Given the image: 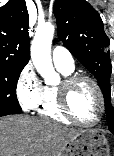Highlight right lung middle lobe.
<instances>
[{"label":"right lung middle lobe","mask_w":114,"mask_h":156,"mask_svg":"<svg viewBox=\"0 0 114 156\" xmlns=\"http://www.w3.org/2000/svg\"><path fill=\"white\" fill-rule=\"evenodd\" d=\"M24 67L0 62V116L21 113L16 86Z\"/></svg>","instance_id":"dd1d6c3e"}]
</instances>
